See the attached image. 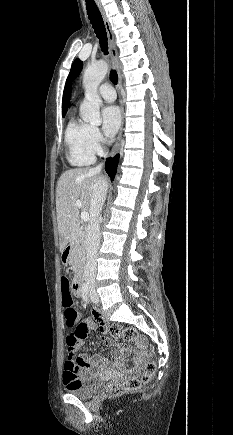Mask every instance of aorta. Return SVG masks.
<instances>
[{"label": "aorta", "mask_w": 233, "mask_h": 435, "mask_svg": "<svg viewBox=\"0 0 233 435\" xmlns=\"http://www.w3.org/2000/svg\"><path fill=\"white\" fill-rule=\"evenodd\" d=\"M108 64L100 61L85 69L83 75V86L85 88V98L80 106V114L85 122L92 125L101 124L100 103L101 98L98 95V86L106 76Z\"/></svg>", "instance_id": "obj_1"}]
</instances>
